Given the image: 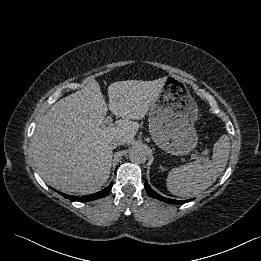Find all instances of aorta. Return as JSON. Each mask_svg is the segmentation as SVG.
<instances>
[{"instance_id": "obj_1", "label": "aorta", "mask_w": 261, "mask_h": 261, "mask_svg": "<svg viewBox=\"0 0 261 261\" xmlns=\"http://www.w3.org/2000/svg\"><path fill=\"white\" fill-rule=\"evenodd\" d=\"M129 158L136 164H144L147 160V153L141 146H135L130 150Z\"/></svg>"}]
</instances>
